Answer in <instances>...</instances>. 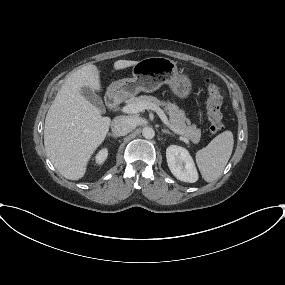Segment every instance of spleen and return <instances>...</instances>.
Listing matches in <instances>:
<instances>
[{"instance_id": "1", "label": "spleen", "mask_w": 285, "mask_h": 285, "mask_svg": "<svg viewBox=\"0 0 285 285\" xmlns=\"http://www.w3.org/2000/svg\"><path fill=\"white\" fill-rule=\"evenodd\" d=\"M233 144V133L226 130L196 152V163L206 182H213L221 175L231 157Z\"/></svg>"}]
</instances>
